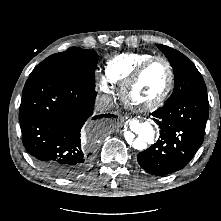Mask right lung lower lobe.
Wrapping results in <instances>:
<instances>
[{"mask_svg":"<svg viewBox=\"0 0 221 221\" xmlns=\"http://www.w3.org/2000/svg\"><path fill=\"white\" fill-rule=\"evenodd\" d=\"M95 88L69 81L50 71L30 74L19 110L22 142L36 163L57 177L69 178L86 169L93 158L84 147L80 132L87 122L93 124V137L103 117L94 115Z\"/></svg>","mask_w":221,"mask_h":221,"instance_id":"1","label":"right lung lower lobe"}]
</instances>
